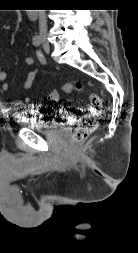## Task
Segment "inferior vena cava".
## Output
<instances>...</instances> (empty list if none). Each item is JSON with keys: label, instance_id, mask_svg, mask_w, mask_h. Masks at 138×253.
I'll list each match as a JSON object with an SVG mask.
<instances>
[{"label": "inferior vena cava", "instance_id": "1", "mask_svg": "<svg viewBox=\"0 0 138 253\" xmlns=\"http://www.w3.org/2000/svg\"><path fill=\"white\" fill-rule=\"evenodd\" d=\"M39 32L42 39L47 37V19L45 10H39Z\"/></svg>", "mask_w": 138, "mask_h": 253}]
</instances>
